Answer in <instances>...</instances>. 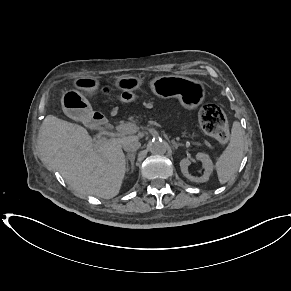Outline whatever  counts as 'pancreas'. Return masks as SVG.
I'll list each match as a JSON object with an SVG mask.
<instances>
[{
  "label": "pancreas",
  "instance_id": "cf45deb5",
  "mask_svg": "<svg viewBox=\"0 0 291 291\" xmlns=\"http://www.w3.org/2000/svg\"><path fill=\"white\" fill-rule=\"evenodd\" d=\"M150 119H152V118H150ZM129 120H130L131 123H134L135 124V123H138V122L142 121L143 120V117L141 115H138V116L134 115V116H130L129 117ZM180 131L182 133V136H185V137L194 138V137L197 136V134L194 133V132H192V133L188 132L185 127H181L180 128Z\"/></svg>",
  "mask_w": 291,
  "mask_h": 291
}]
</instances>
